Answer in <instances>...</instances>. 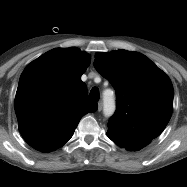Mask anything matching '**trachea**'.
<instances>
[{
	"label": "trachea",
	"instance_id": "trachea-1",
	"mask_svg": "<svg viewBox=\"0 0 187 187\" xmlns=\"http://www.w3.org/2000/svg\"><path fill=\"white\" fill-rule=\"evenodd\" d=\"M90 101H98L99 100V90L97 87H93L89 94Z\"/></svg>",
	"mask_w": 187,
	"mask_h": 187
}]
</instances>
